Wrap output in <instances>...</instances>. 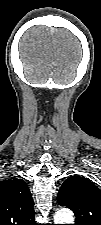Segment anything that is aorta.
<instances>
[{"label": "aorta", "instance_id": "1", "mask_svg": "<svg viewBox=\"0 0 101 225\" xmlns=\"http://www.w3.org/2000/svg\"><path fill=\"white\" fill-rule=\"evenodd\" d=\"M55 224H74L73 213L66 208L59 209L54 217Z\"/></svg>", "mask_w": 101, "mask_h": 225}]
</instances>
